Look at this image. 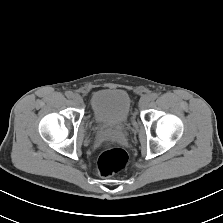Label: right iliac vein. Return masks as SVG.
I'll list each match as a JSON object with an SVG mask.
<instances>
[{
  "instance_id": "right-iliac-vein-1",
  "label": "right iliac vein",
  "mask_w": 223,
  "mask_h": 223,
  "mask_svg": "<svg viewBox=\"0 0 223 223\" xmlns=\"http://www.w3.org/2000/svg\"><path fill=\"white\" fill-rule=\"evenodd\" d=\"M74 103L81 104L82 103V97L79 94H74L72 97Z\"/></svg>"
}]
</instances>
